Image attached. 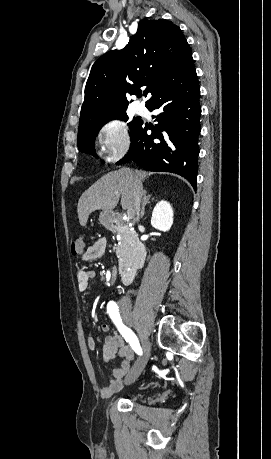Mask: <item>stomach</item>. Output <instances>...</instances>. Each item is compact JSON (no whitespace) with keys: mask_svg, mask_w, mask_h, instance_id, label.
<instances>
[{"mask_svg":"<svg viewBox=\"0 0 271 459\" xmlns=\"http://www.w3.org/2000/svg\"><path fill=\"white\" fill-rule=\"evenodd\" d=\"M113 218L114 214H112V212H103V214L100 216L102 224H106V226H110Z\"/></svg>","mask_w":271,"mask_h":459,"instance_id":"1","label":"stomach"}]
</instances>
